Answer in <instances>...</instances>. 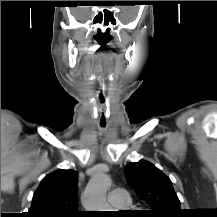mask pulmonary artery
<instances>
[{
  "instance_id": "obj_1",
  "label": "pulmonary artery",
  "mask_w": 217,
  "mask_h": 217,
  "mask_svg": "<svg viewBox=\"0 0 217 217\" xmlns=\"http://www.w3.org/2000/svg\"><path fill=\"white\" fill-rule=\"evenodd\" d=\"M108 202L117 209H125L130 203L131 199L126 189L115 188L113 189L107 197Z\"/></svg>"
}]
</instances>
